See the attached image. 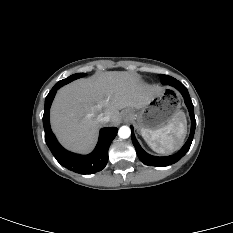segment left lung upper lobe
<instances>
[{
    "label": "left lung upper lobe",
    "instance_id": "5c2ea615",
    "mask_svg": "<svg viewBox=\"0 0 233 233\" xmlns=\"http://www.w3.org/2000/svg\"><path fill=\"white\" fill-rule=\"evenodd\" d=\"M159 77L161 79L162 84H168L169 81L173 79V77L163 74H159Z\"/></svg>",
    "mask_w": 233,
    "mask_h": 233
}]
</instances>
